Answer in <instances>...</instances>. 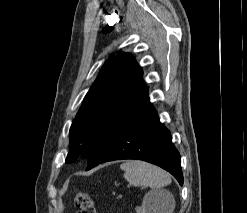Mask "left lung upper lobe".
<instances>
[{
  "mask_svg": "<svg viewBox=\"0 0 247 213\" xmlns=\"http://www.w3.org/2000/svg\"><path fill=\"white\" fill-rule=\"evenodd\" d=\"M143 72L128 53L111 55L83 100L70 128L66 163L88 158L100 137L144 90Z\"/></svg>",
  "mask_w": 247,
  "mask_h": 213,
  "instance_id": "1",
  "label": "left lung upper lobe"
}]
</instances>
